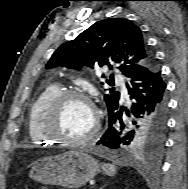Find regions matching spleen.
Here are the masks:
<instances>
[{
  "label": "spleen",
  "instance_id": "3e777b00",
  "mask_svg": "<svg viewBox=\"0 0 188 189\" xmlns=\"http://www.w3.org/2000/svg\"><path fill=\"white\" fill-rule=\"evenodd\" d=\"M102 169L109 176H113L116 173V167L112 164H103Z\"/></svg>",
  "mask_w": 188,
  "mask_h": 189
}]
</instances>
